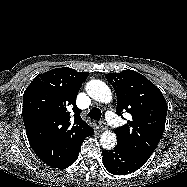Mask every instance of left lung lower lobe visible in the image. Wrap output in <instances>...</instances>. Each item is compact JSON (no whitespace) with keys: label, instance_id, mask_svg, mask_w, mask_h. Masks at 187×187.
<instances>
[{"label":"left lung lower lobe","instance_id":"1","mask_svg":"<svg viewBox=\"0 0 187 187\" xmlns=\"http://www.w3.org/2000/svg\"><path fill=\"white\" fill-rule=\"evenodd\" d=\"M105 168L114 175H126L135 172L149 159L125 150L117 144L113 150L102 151Z\"/></svg>","mask_w":187,"mask_h":187}]
</instances>
